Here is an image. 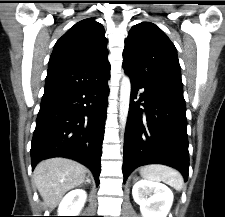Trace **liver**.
I'll list each match as a JSON object with an SVG mask.
<instances>
[{
    "label": "liver",
    "instance_id": "6515ba94",
    "mask_svg": "<svg viewBox=\"0 0 225 217\" xmlns=\"http://www.w3.org/2000/svg\"><path fill=\"white\" fill-rule=\"evenodd\" d=\"M87 168L67 158H50L41 161L34 169L33 180L49 209H54L65 193L86 178Z\"/></svg>",
    "mask_w": 225,
    "mask_h": 217
}]
</instances>
